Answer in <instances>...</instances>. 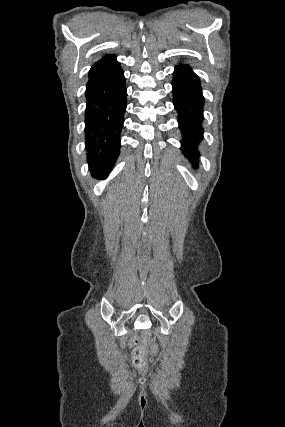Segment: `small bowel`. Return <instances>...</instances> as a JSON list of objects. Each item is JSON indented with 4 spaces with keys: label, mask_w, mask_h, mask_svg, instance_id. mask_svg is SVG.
Segmentation results:
<instances>
[{
    "label": "small bowel",
    "mask_w": 285,
    "mask_h": 427,
    "mask_svg": "<svg viewBox=\"0 0 285 427\" xmlns=\"http://www.w3.org/2000/svg\"><path fill=\"white\" fill-rule=\"evenodd\" d=\"M133 344H134V341L132 340V341H131V345H133Z\"/></svg>",
    "instance_id": "obj_1"
}]
</instances>
